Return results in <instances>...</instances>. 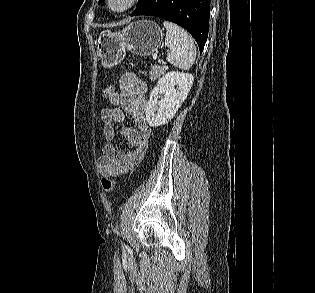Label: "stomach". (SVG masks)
Here are the masks:
<instances>
[{
    "label": "stomach",
    "instance_id": "1",
    "mask_svg": "<svg viewBox=\"0 0 315 293\" xmlns=\"http://www.w3.org/2000/svg\"><path fill=\"white\" fill-rule=\"evenodd\" d=\"M162 29L152 21H137L122 31L102 32L95 40L97 55L104 68L119 64L126 51L139 56L156 53L163 40Z\"/></svg>",
    "mask_w": 315,
    "mask_h": 293
}]
</instances>
